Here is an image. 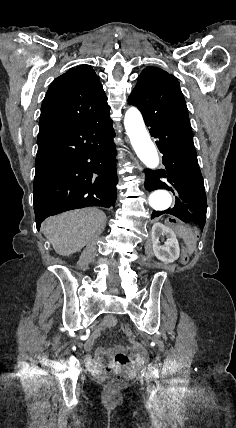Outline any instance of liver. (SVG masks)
Here are the masks:
<instances>
[{"label": "liver", "mask_w": 236, "mask_h": 428, "mask_svg": "<svg viewBox=\"0 0 236 428\" xmlns=\"http://www.w3.org/2000/svg\"><path fill=\"white\" fill-rule=\"evenodd\" d=\"M106 214L97 208L72 210L45 220L42 232L59 256L80 252L93 236L105 230Z\"/></svg>", "instance_id": "6515ba94"}]
</instances>
